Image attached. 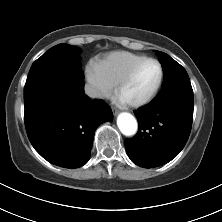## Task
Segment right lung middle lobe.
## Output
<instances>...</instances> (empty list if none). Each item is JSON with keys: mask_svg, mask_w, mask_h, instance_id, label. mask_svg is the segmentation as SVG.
Masks as SVG:
<instances>
[{"mask_svg": "<svg viewBox=\"0 0 222 222\" xmlns=\"http://www.w3.org/2000/svg\"><path fill=\"white\" fill-rule=\"evenodd\" d=\"M79 49L58 44L37 59L28 74L24 89V104L37 99L73 101L82 89Z\"/></svg>", "mask_w": 222, "mask_h": 222, "instance_id": "1", "label": "right lung middle lobe"}]
</instances>
